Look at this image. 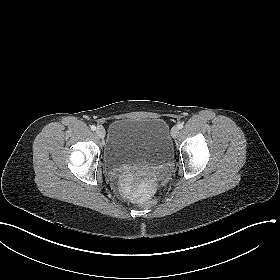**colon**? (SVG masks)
Returning a JSON list of instances; mask_svg holds the SVG:
<instances>
[{
  "label": "colon",
  "mask_w": 280,
  "mask_h": 280,
  "mask_svg": "<svg viewBox=\"0 0 280 280\" xmlns=\"http://www.w3.org/2000/svg\"><path fill=\"white\" fill-rule=\"evenodd\" d=\"M157 199H158L157 196H154V197L149 198V199L146 201V205H148V206L154 205V204L156 203Z\"/></svg>",
  "instance_id": "colon-1"
}]
</instances>
